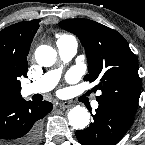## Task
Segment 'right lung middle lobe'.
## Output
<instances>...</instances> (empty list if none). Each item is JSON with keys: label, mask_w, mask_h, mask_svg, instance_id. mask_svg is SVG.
<instances>
[{"label": "right lung middle lobe", "mask_w": 145, "mask_h": 145, "mask_svg": "<svg viewBox=\"0 0 145 145\" xmlns=\"http://www.w3.org/2000/svg\"><path fill=\"white\" fill-rule=\"evenodd\" d=\"M13 89V76L5 69L0 68V99L11 98Z\"/></svg>", "instance_id": "obj_1"}]
</instances>
